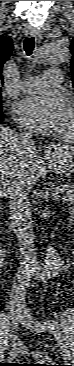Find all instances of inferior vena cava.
Masks as SVG:
<instances>
[{
	"label": "inferior vena cava",
	"mask_w": 74,
	"mask_h": 366,
	"mask_svg": "<svg viewBox=\"0 0 74 366\" xmlns=\"http://www.w3.org/2000/svg\"><path fill=\"white\" fill-rule=\"evenodd\" d=\"M32 133L24 132L19 135L20 144L28 151L33 150ZM30 187L23 180H14L9 187L11 226L15 229L19 241L22 262L17 281L12 287V298H23L30 277V263L36 262L34 245V229L28 194Z\"/></svg>",
	"instance_id": "602c4592"
}]
</instances>
